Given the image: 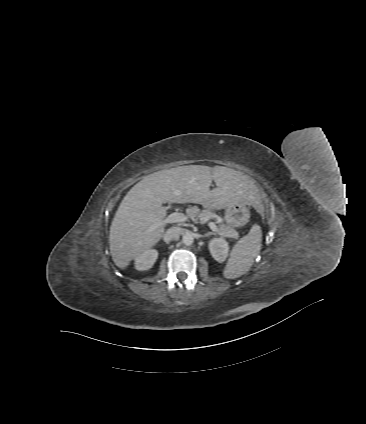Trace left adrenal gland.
I'll return each mask as SVG.
<instances>
[{
	"label": "left adrenal gland",
	"mask_w": 366,
	"mask_h": 424,
	"mask_svg": "<svg viewBox=\"0 0 366 424\" xmlns=\"http://www.w3.org/2000/svg\"><path fill=\"white\" fill-rule=\"evenodd\" d=\"M211 235H215V233H214V232H208V233H206V234L204 235V237H205V238H208V237H210Z\"/></svg>",
	"instance_id": "obj_1"
}]
</instances>
